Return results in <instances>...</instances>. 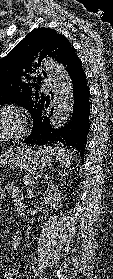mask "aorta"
<instances>
[{"label":"aorta","instance_id":"obj_1","mask_svg":"<svg viewBox=\"0 0 113 279\" xmlns=\"http://www.w3.org/2000/svg\"><path fill=\"white\" fill-rule=\"evenodd\" d=\"M43 67L53 85L54 110L50 119L52 128L64 126L70 119L74 106L72 81L62 64L54 59H44Z\"/></svg>","mask_w":113,"mask_h":279}]
</instances>
